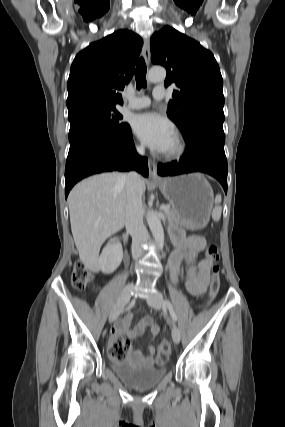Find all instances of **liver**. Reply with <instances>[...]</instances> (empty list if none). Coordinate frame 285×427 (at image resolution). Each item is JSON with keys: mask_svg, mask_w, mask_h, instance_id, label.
Here are the masks:
<instances>
[{"mask_svg": "<svg viewBox=\"0 0 285 427\" xmlns=\"http://www.w3.org/2000/svg\"><path fill=\"white\" fill-rule=\"evenodd\" d=\"M141 187L144 192V179ZM126 204V181L121 173L92 176L71 190V230L80 260L88 268H97L102 244L124 227Z\"/></svg>", "mask_w": 285, "mask_h": 427, "instance_id": "obj_1", "label": "liver"}]
</instances>
